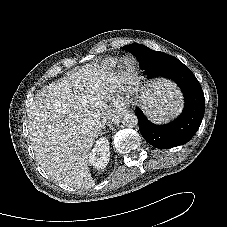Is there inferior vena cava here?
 <instances>
[{"label": "inferior vena cava", "mask_w": 227, "mask_h": 227, "mask_svg": "<svg viewBox=\"0 0 227 227\" xmlns=\"http://www.w3.org/2000/svg\"><path fill=\"white\" fill-rule=\"evenodd\" d=\"M103 125L102 124H99V127H102Z\"/></svg>", "instance_id": "602c4592"}]
</instances>
